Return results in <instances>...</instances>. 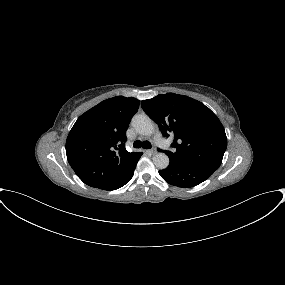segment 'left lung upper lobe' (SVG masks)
I'll return each instance as SVG.
<instances>
[{
  "instance_id": "obj_1",
  "label": "left lung upper lobe",
  "mask_w": 285,
  "mask_h": 285,
  "mask_svg": "<svg viewBox=\"0 0 285 285\" xmlns=\"http://www.w3.org/2000/svg\"><path fill=\"white\" fill-rule=\"evenodd\" d=\"M163 136H174L173 151H164L170 163L216 171L227 148V137L217 116L188 96L167 93L141 102Z\"/></svg>"
}]
</instances>
